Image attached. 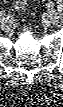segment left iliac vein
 <instances>
[{
    "mask_svg": "<svg viewBox=\"0 0 63 107\" xmlns=\"http://www.w3.org/2000/svg\"><path fill=\"white\" fill-rule=\"evenodd\" d=\"M49 21L52 24H57L59 21V15L55 10H50L48 12Z\"/></svg>",
    "mask_w": 63,
    "mask_h": 107,
    "instance_id": "4c4485c4",
    "label": "left iliac vein"
}]
</instances>
